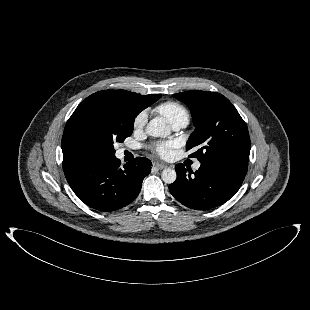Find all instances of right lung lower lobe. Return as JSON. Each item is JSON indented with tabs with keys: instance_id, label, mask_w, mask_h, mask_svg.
I'll use <instances>...</instances> for the list:
<instances>
[{
	"instance_id": "obj_1",
	"label": "right lung lower lobe",
	"mask_w": 310,
	"mask_h": 310,
	"mask_svg": "<svg viewBox=\"0 0 310 310\" xmlns=\"http://www.w3.org/2000/svg\"><path fill=\"white\" fill-rule=\"evenodd\" d=\"M115 154L63 157L65 177L77 197L91 208L114 211L131 203L150 173L149 159L137 157L123 167Z\"/></svg>"
}]
</instances>
